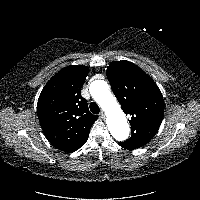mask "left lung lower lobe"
<instances>
[{
	"label": "left lung lower lobe",
	"instance_id": "obj_1",
	"mask_svg": "<svg viewBox=\"0 0 200 200\" xmlns=\"http://www.w3.org/2000/svg\"><path fill=\"white\" fill-rule=\"evenodd\" d=\"M121 147L126 148L121 142L119 143ZM127 149V148H126Z\"/></svg>",
	"mask_w": 200,
	"mask_h": 200
}]
</instances>
